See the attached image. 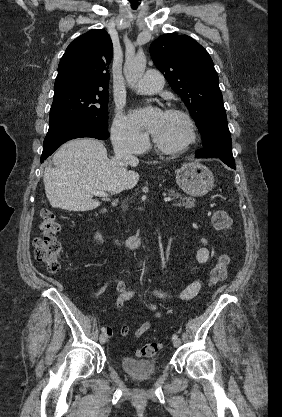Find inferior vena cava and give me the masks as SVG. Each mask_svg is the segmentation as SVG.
<instances>
[{
	"mask_svg": "<svg viewBox=\"0 0 282 417\" xmlns=\"http://www.w3.org/2000/svg\"><path fill=\"white\" fill-rule=\"evenodd\" d=\"M113 148L115 152L113 160H116V162H122V164H126V166H128L132 160H137L136 156H132L128 142H126L124 138H122V140H118L117 136H114Z\"/></svg>",
	"mask_w": 282,
	"mask_h": 417,
	"instance_id": "inferior-vena-cava-1",
	"label": "inferior vena cava"
}]
</instances>
